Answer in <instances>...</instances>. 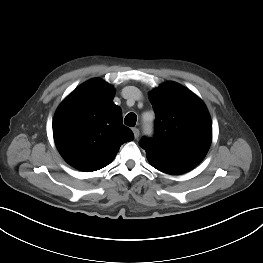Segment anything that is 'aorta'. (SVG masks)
I'll return each mask as SVG.
<instances>
[{"label":"aorta","mask_w":263,"mask_h":263,"mask_svg":"<svg viewBox=\"0 0 263 263\" xmlns=\"http://www.w3.org/2000/svg\"><path fill=\"white\" fill-rule=\"evenodd\" d=\"M145 128H146L147 133H150V132H151V124L146 123V124H145Z\"/></svg>","instance_id":"obj_1"}]
</instances>
